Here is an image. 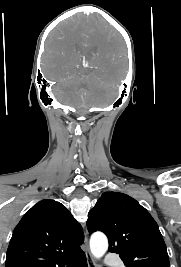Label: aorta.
<instances>
[{
	"instance_id": "aorta-1",
	"label": "aorta",
	"mask_w": 181,
	"mask_h": 267,
	"mask_svg": "<svg viewBox=\"0 0 181 267\" xmlns=\"http://www.w3.org/2000/svg\"><path fill=\"white\" fill-rule=\"evenodd\" d=\"M108 249L107 237L100 232L94 233L90 238V250L92 255L99 259Z\"/></svg>"
}]
</instances>
